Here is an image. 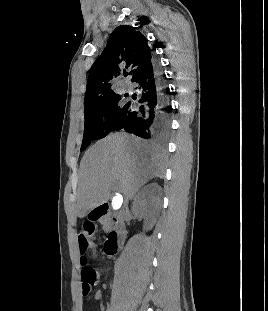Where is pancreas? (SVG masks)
<instances>
[{
  "mask_svg": "<svg viewBox=\"0 0 268 311\" xmlns=\"http://www.w3.org/2000/svg\"><path fill=\"white\" fill-rule=\"evenodd\" d=\"M102 224H103V229H108L110 222H109V220H104V222Z\"/></svg>",
  "mask_w": 268,
  "mask_h": 311,
  "instance_id": "obj_1",
  "label": "pancreas"
}]
</instances>
